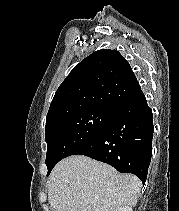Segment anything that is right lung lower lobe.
I'll list each match as a JSON object with an SVG mask.
<instances>
[{"mask_svg":"<svg viewBox=\"0 0 179 211\" xmlns=\"http://www.w3.org/2000/svg\"><path fill=\"white\" fill-rule=\"evenodd\" d=\"M153 115L141 89L114 111L102 132L74 154L105 162L146 181L152 155Z\"/></svg>","mask_w":179,"mask_h":211,"instance_id":"obj_1","label":"right lung lower lobe"}]
</instances>
